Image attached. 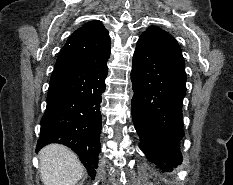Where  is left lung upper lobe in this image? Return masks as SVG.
<instances>
[{"label": "left lung upper lobe", "instance_id": "obj_1", "mask_svg": "<svg viewBox=\"0 0 233 185\" xmlns=\"http://www.w3.org/2000/svg\"><path fill=\"white\" fill-rule=\"evenodd\" d=\"M140 38H143L164 50L183 57L181 48L175 38L158 27H149L145 32L142 33Z\"/></svg>", "mask_w": 233, "mask_h": 185}]
</instances>
